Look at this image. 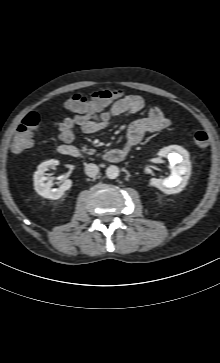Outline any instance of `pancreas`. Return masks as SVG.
I'll return each mask as SVG.
<instances>
[{"label":"pancreas","instance_id":"pancreas-1","mask_svg":"<svg viewBox=\"0 0 220 363\" xmlns=\"http://www.w3.org/2000/svg\"><path fill=\"white\" fill-rule=\"evenodd\" d=\"M82 151L84 152V153H86V154H88V155H93L95 152H96V150L95 149H87V147L86 146H83L82 147Z\"/></svg>","mask_w":220,"mask_h":363}]
</instances>
